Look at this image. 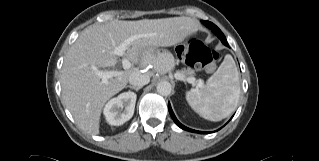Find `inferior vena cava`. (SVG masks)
<instances>
[{"label": "inferior vena cava", "mask_w": 319, "mask_h": 161, "mask_svg": "<svg viewBox=\"0 0 319 161\" xmlns=\"http://www.w3.org/2000/svg\"><path fill=\"white\" fill-rule=\"evenodd\" d=\"M150 81V77L147 74L141 72H134L129 77V83L134 87H143L148 84Z\"/></svg>", "instance_id": "602c4592"}]
</instances>
